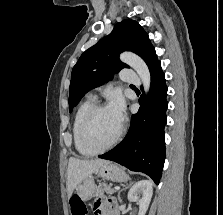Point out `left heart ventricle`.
<instances>
[{
	"mask_svg": "<svg viewBox=\"0 0 223 215\" xmlns=\"http://www.w3.org/2000/svg\"><path fill=\"white\" fill-rule=\"evenodd\" d=\"M120 124L108 108L99 111L90 129V139L94 146L102 148L111 143L119 131Z\"/></svg>",
	"mask_w": 223,
	"mask_h": 215,
	"instance_id": "left-heart-ventricle-1",
	"label": "left heart ventricle"
}]
</instances>
